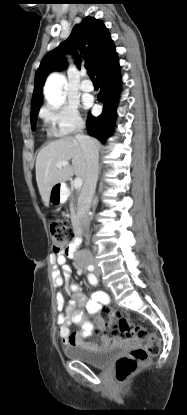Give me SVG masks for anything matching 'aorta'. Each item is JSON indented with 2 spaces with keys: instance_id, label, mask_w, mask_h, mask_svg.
<instances>
[{
  "instance_id": "aorta-1",
  "label": "aorta",
  "mask_w": 187,
  "mask_h": 415,
  "mask_svg": "<svg viewBox=\"0 0 187 415\" xmlns=\"http://www.w3.org/2000/svg\"><path fill=\"white\" fill-rule=\"evenodd\" d=\"M65 82V76L60 73H52L47 78L44 86V96L49 106L54 109L61 107L65 102V96L63 95Z\"/></svg>"
}]
</instances>
